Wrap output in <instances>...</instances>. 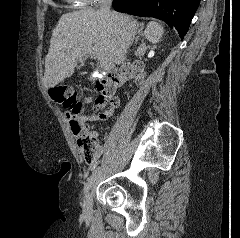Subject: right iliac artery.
I'll return each mask as SVG.
<instances>
[{
    "label": "right iliac artery",
    "mask_w": 240,
    "mask_h": 238,
    "mask_svg": "<svg viewBox=\"0 0 240 238\" xmlns=\"http://www.w3.org/2000/svg\"><path fill=\"white\" fill-rule=\"evenodd\" d=\"M98 170H99V168L94 170L92 175L88 179V182L86 183V185L84 187V193H87L89 191V189L91 188L92 184L94 183V181H95V179H96V177L98 175Z\"/></svg>",
    "instance_id": "right-iliac-artery-1"
}]
</instances>
